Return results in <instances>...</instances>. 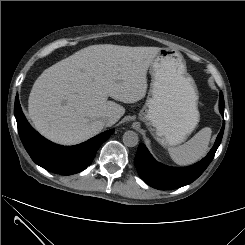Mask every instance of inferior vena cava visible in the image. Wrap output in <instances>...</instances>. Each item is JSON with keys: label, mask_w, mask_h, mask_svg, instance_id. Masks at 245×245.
Returning <instances> with one entry per match:
<instances>
[{"label": "inferior vena cava", "mask_w": 245, "mask_h": 245, "mask_svg": "<svg viewBox=\"0 0 245 245\" xmlns=\"http://www.w3.org/2000/svg\"><path fill=\"white\" fill-rule=\"evenodd\" d=\"M104 122H114V119L111 117H104Z\"/></svg>", "instance_id": "inferior-vena-cava-1"}]
</instances>
